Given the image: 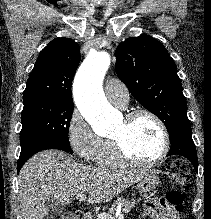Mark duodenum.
<instances>
[{
    "mask_svg": "<svg viewBox=\"0 0 211 219\" xmlns=\"http://www.w3.org/2000/svg\"><path fill=\"white\" fill-rule=\"evenodd\" d=\"M73 213H78V217L76 219H92V215L89 212H79V211H75Z\"/></svg>",
    "mask_w": 211,
    "mask_h": 219,
    "instance_id": "duodenum-1",
    "label": "duodenum"
}]
</instances>
